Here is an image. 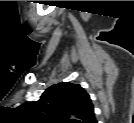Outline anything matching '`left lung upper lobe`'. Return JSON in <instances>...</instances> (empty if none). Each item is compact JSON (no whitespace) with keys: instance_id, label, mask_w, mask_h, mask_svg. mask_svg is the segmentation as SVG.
<instances>
[{"instance_id":"left-lung-upper-lobe-1","label":"left lung upper lobe","mask_w":134,"mask_h":123,"mask_svg":"<svg viewBox=\"0 0 134 123\" xmlns=\"http://www.w3.org/2000/svg\"><path fill=\"white\" fill-rule=\"evenodd\" d=\"M25 110L45 120L62 123H94L89 94L79 84L58 83L44 91L38 101L23 105ZM76 116L81 120L70 119Z\"/></svg>"}]
</instances>
